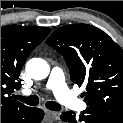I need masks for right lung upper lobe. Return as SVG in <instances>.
<instances>
[{
    "mask_svg": "<svg viewBox=\"0 0 123 123\" xmlns=\"http://www.w3.org/2000/svg\"><path fill=\"white\" fill-rule=\"evenodd\" d=\"M50 31L48 27H1V116L27 107L13 99L11 94L19 89V74L28 55Z\"/></svg>",
    "mask_w": 123,
    "mask_h": 123,
    "instance_id": "cb5924a9",
    "label": "right lung upper lobe"
}]
</instances>
